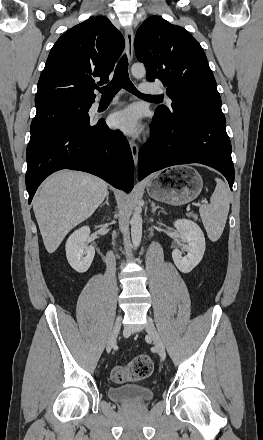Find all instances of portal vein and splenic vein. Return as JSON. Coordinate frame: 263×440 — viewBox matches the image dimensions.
Returning <instances> with one entry per match:
<instances>
[{
	"label": "portal vein and splenic vein",
	"instance_id": "18ae733b",
	"mask_svg": "<svg viewBox=\"0 0 263 440\" xmlns=\"http://www.w3.org/2000/svg\"><path fill=\"white\" fill-rule=\"evenodd\" d=\"M201 203H207V201L206 200H202Z\"/></svg>",
	"mask_w": 263,
	"mask_h": 440
}]
</instances>
